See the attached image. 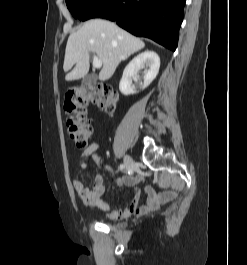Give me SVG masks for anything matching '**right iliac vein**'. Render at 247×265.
Segmentation results:
<instances>
[{
    "label": "right iliac vein",
    "mask_w": 247,
    "mask_h": 265,
    "mask_svg": "<svg viewBox=\"0 0 247 265\" xmlns=\"http://www.w3.org/2000/svg\"><path fill=\"white\" fill-rule=\"evenodd\" d=\"M124 165L127 171H130L132 169L134 161L129 155H126L124 157Z\"/></svg>",
    "instance_id": "1"
}]
</instances>
